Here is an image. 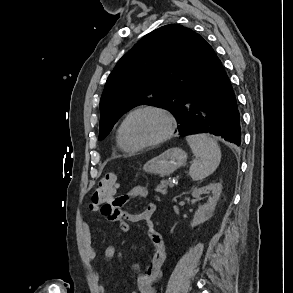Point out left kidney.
Returning <instances> with one entry per match:
<instances>
[{
  "mask_svg": "<svg viewBox=\"0 0 293 293\" xmlns=\"http://www.w3.org/2000/svg\"><path fill=\"white\" fill-rule=\"evenodd\" d=\"M221 191V183L213 182L206 186L197 188L192 192V196L197 200H200L202 194L211 192V196L208 201L205 204L200 205L198 210L195 212L194 218L191 222V227L198 226L212 217Z\"/></svg>",
  "mask_w": 293,
  "mask_h": 293,
  "instance_id": "5707ae66",
  "label": "left kidney"
}]
</instances>
